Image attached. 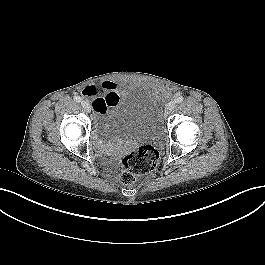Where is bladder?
<instances>
[{
  "label": "bladder",
  "mask_w": 265,
  "mask_h": 265,
  "mask_svg": "<svg viewBox=\"0 0 265 265\" xmlns=\"http://www.w3.org/2000/svg\"><path fill=\"white\" fill-rule=\"evenodd\" d=\"M108 138H155L163 130L158 92L145 82L131 83L104 118Z\"/></svg>",
  "instance_id": "31cf9c89"
}]
</instances>
